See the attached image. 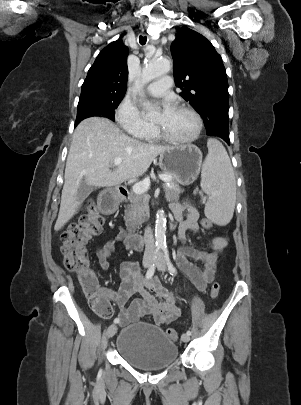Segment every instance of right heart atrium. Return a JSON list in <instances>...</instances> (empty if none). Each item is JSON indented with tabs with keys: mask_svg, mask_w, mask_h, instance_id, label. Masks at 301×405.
Segmentation results:
<instances>
[{
	"mask_svg": "<svg viewBox=\"0 0 301 405\" xmlns=\"http://www.w3.org/2000/svg\"><path fill=\"white\" fill-rule=\"evenodd\" d=\"M115 117L121 128L134 136L152 128V125L143 119L137 106L128 98L121 101L116 109Z\"/></svg>",
	"mask_w": 301,
	"mask_h": 405,
	"instance_id": "right-heart-atrium-1",
	"label": "right heart atrium"
}]
</instances>
